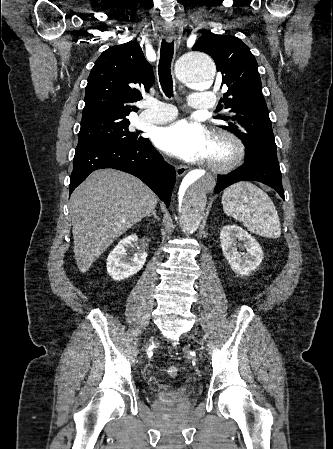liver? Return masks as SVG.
<instances>
[{"mask_svg":"<svg viewBox=\"0 0 333 449\" xmlns=\"http://www.w3.org/2000/svg\"><path fill=\"white\" fill-rule=\"evenodd\" d=\"M157 201L133 175L114 169L92 172L69 202L78 269L86 272L114 240L150 215Z\"/></svg>","mask_w":333,"mask_h":449,"instance_id":"liver-1","label":"liver"}]
</instances>
